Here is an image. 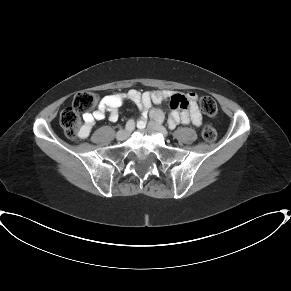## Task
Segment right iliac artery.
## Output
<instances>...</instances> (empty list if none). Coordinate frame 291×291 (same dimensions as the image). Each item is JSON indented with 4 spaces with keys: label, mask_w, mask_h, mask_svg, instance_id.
<instances>
[{
    "label": "right iliac artery",
    "mask_w": 291,
    "mask_h": 291,
    "mask_svg": "<svg viewBox=\"0 0 291 291\" xmlns=\"http://www.w3.org/2000/svg\"><path fill=\"white\" fill-rule=\"evenodd\" d=\"M134 127H135L134 120H132V119L128 120V122L126 123V126H125L126 130L132 131L134 129Z\"/></svg>",
    "instance_id": "82829eb1"
}]
</instances>
